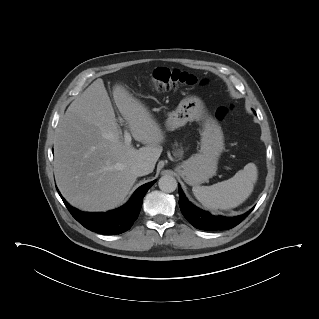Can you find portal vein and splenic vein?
<instances>
[{
  "label": "portal vein and splenic vein",
  "instance_id": "18ae733b",
  "mask_svg": "<svg viewBox=\"0 0 319 319\" xmlns=\"http://www.w3.org/2000/svg\"><path fill=\"white\" fill-rule=\"evenodd\" d=\"M131 140H132V138H131L130 133L127 130H125L124 131V142H125V144L130 145L131 144Z\"/></svg>",
  "mask_w": 319,
  "mask_h": 319
}]
</instances>
